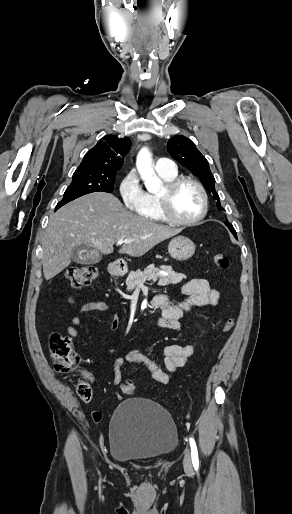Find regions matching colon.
<instances>
[{"instance_id":"5ec220e1","label":"colon","mask_w":292,"mask_h":514,"mask_svg":"<svg viewBox=\"0 0 292 514\" xmlns=\"http://www.w3.org/2000/svg\"><path fill=\"white\" fill-rule=\"evenodd\" d=\"M214 263L217 267L226 270L229 268V258L224 253H216L214 255ZM100 276V271L95 266H80L70 268L67 272L70 287L72 289H80L91 285ZM234 319L228 318L222 326V331L228 333L234 327ZM49 348L52 357L54 370L62 375H69L80 361V354L72 347L71 338L60 333L51 334L49 337ZM135 392V384L131 380H127L120 386L122 395L131 396ZM77 393L79 398L88 403L93 397V391L89 383L81 380L77 384ZM93 420L97 421L101 418V412L94 410L91 414Z\"/></svg>"}]
</instances>
